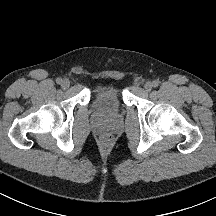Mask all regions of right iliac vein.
Instances as JSON below:
<instances>
[{
	"label": "right iliac vein",
	"mask_w": 216,
	"mask_h": 216,
	"mask_svg": "<svg viewBox=\"0 0 216 216\" xmlns=\"http://www.w3.org/2000/svg\"><path fill=\"white\" fill-rule=\"evenodd\" d=\"M62 88L67 89L70 86V81L68 79H64L61 83Z\"/></svg>",
	"instance_id": "1"
}]
</instances>
